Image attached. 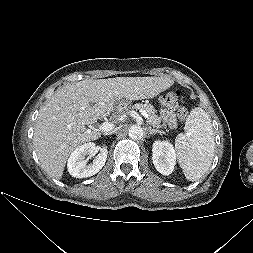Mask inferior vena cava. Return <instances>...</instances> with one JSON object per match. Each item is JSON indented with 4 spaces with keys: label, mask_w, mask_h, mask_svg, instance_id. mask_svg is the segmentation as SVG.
I'll return each instance as SVG.
<instances>
[{
    "label": "inferior vena cava",
    "mask_w": 253,
    "mask_h": 253,
    "mask_svg": "<svg viewBox=\"0 0 253 253\" xmlns=\"http://www.w3.org/2000/svg\"><path fill=\"white\" fill-rule=\"evenodd\" d=\"M116 130H117V129H115V130H113V131H110V132H108L107 134H108V135H109V134H112V133H114Z\"/></svg>",
    "instance_id": "1"
}]
</instances>
